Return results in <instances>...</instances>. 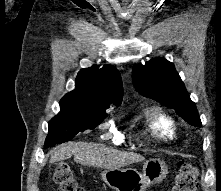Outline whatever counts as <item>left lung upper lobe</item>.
<instances>
[{
	"label": "left lung upper lobe",
	"instance_id": "obj_1",
	"mask_svg": "<svg viewBox=\"0 0 221 191\" xmlns=\"http://www.w3.org/2000/svg\"><path fill=\"white\" fill-rule=\"evenodd\" d=\"M134 84L141 95L176 110L190 125L201 127L196 105L190 99L173 63L154 58L145 65H137Z\"/></svg>",
	"mask_w": 221,
	"mask_h": 191
}]
</instances>
